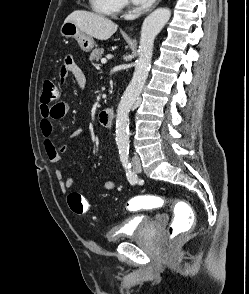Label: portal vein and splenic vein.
<instances>
[{"mask_svg": "<svg viewBox=\"0 0 249 294\" xmlns=\"http://www.w3.org/2000/svg\"><path fill=\"white\" fill-rule=\"evenodd\" d=\"M106 62H107L106 59H102V60H101V63H102V64H105Z\"/></svg>", "mask_w": 249, "mask_h": 294, "instance_id": "portal-vein-and-splenic-vein-1", "label": "portal vein and splenic vein"}]
</instances>
